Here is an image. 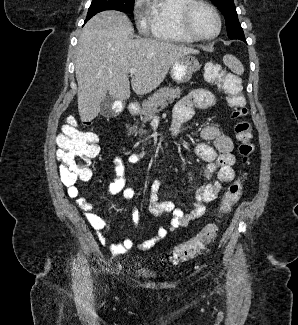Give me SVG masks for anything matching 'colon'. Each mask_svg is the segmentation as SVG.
Here are the masks:
<instances>
[{"label":"colon","instance_id":"obj_1","mask_svg":"<svg viewBox=\"0 0 298 325\" xmlns=\"http://www.w3.org/2000/svg\"><path fill=\"white\" fill-rule=\"evenodd\" d=\"M205 79L221 88L226 95L228 105L232 108V116L237 120L235 136L239 141V153L243 162L248 163L254 152L252 128L247 120L246 99L242 93L239 78L218 63L209 62L204 67ZM57 158L60 161V177L66 186H74L79 181L91 177V162L99 154L97 137L94 133L81 130L74 119H70L63 127L57 139ZM245 173L231 183L224 193L219 212L229 213L239 201L244 188ZM215 224H207L195 237L175 246L167 256L171 263H181L200 254L217 236Z\"/></svg>","mask_w":298,"mask_h":325}]
</instances>
